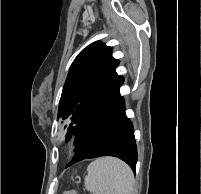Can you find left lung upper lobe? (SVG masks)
I'll return each instance as SVG.
<instances>
[{
	"mask_svg": "<svg viewBox=\"0 0 201 194\" xmlns=\"http://www.w3.org/2000/svg\"><path fill=\"white\" fill-rule=\"evenodd\" d=\"M111 53V47L94 42L79 53L70 67L58 110V118L67 123L69 140L124 83L115 71L119 61Z\"/></svg>",
	"mask_w": 201,
	"mask_h": 194,
	"instance_id": "1",
	"label": "left lung upper lobe"
}]
</instances>
